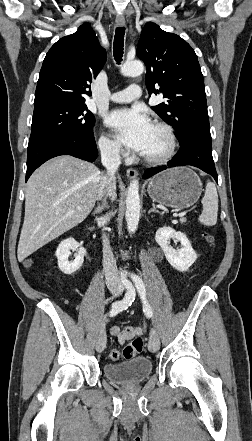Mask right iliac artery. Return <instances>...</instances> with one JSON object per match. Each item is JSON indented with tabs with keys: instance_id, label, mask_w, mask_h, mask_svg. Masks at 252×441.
Masks as SVG:
<instances>
[{
	"instance_id": "right-iliac-artery-1",
	"label": "right iliac artery",
	"mask_w": 252,
	"mask_h": 441,
	"mask_svg": "<svg viewBox=\"0 0 252 441\" xmlns=\"http://www.w3.org/2000/svg\"><path fill=\"white\" fill-rule=\"evenodd\" d=\"M123 284H124L125 288L127 289V292L122 300L114 302L112 304V306L114 304H121L123 306V310H126L132 304V302L135 300L136 293H135L134 287L132 286V284L129 281L124 280Z\"/></svg>"
}]
</instances>
